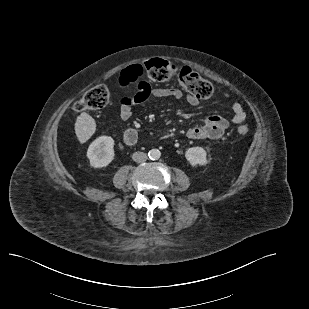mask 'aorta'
Wrapping results in <instances>:
<instances>
[{
  "label": "aorta",
  "instance_id": "obj_1",
  "mask_svg": "<svg viewBox=\"0 0 309 309\" xmlns=\"http://www.w3.org/2000/svg\"><path fill=\"white\" fill-rule=\"evenodd\" d=\"M148 156L151 160H158L161 157V152L159 149H151Z\"/></svg>",
  "mask_w": 309,
  "mask_h": 309
}]
</instances>
